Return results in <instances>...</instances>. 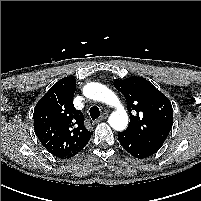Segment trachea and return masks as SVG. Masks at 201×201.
Masks as SVG:
<instances>
[{"label":"trachea","mask_w":201,"mask_h":201,"mask_svg":"<svg viewBox=\"0 0 201 201\" xmlns=\"http://www.w3.org/2000/svg\"><path fill=\"white\" fill-rule=\"evenodd\" d=\"M89 113H90V117L92 118V120H95L98 117H100V110L97 106L91 107Z\"/></svg>","instance_id":"1"}]
</instances>
